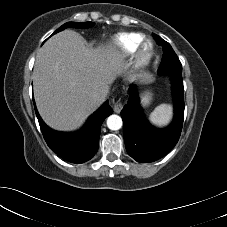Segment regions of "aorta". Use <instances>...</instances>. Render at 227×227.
<instances>
[{"label": "aorta", "mask_w": 227, "mask_h": 227, "mask_svg": "<svg viewBox=\"0 0 227 227\" xmlns=\"http://www.w3.org/2000/svg\"><path fill=\"white\" fill-rule=\"evenodd\" d=\"M107 126L110 130H119L122 127V119L118 115H111L107 119Z\"/></svg>", "instance_id": "1"}]
</instances>
